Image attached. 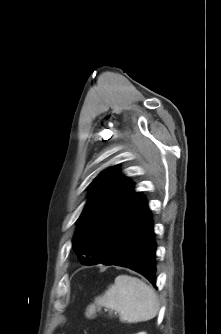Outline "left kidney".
I'll list each match as a JSON object with an SVG mask.
<instances>
[{"label":"left kidney","mask_w":221,"mask_h":334,"mask_svg":"<svg viewBox=\"0 0 221 334\" xmlns=\"http://www.w3.org/2000/svg\"><path fill=\"white\" fill-rule=\"evenodd\" d=\"M138 334H146L145 332H141V333H138Z\"/></svg>","instance_id":"left-kidney-1"}]
</instances>
